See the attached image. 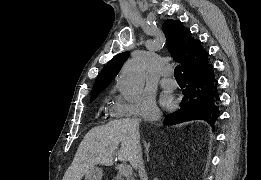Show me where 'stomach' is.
Listing matches in <instances>:
<instances>
[{
  "instance_id": "1",
  "label": "stomach",
  "mask_w": 261,
  "mask_h": 180,
  "mask_svg": "<svg viewBox=\"0 0 261 180\" xmlns=\"http://www.w3.org/2000/svg\"><path fill=\"white\" fill-rule=\"evenodd\" d=\"M102 176V170L96 166H93L85 173V180H101Z\"/></svg>"
}]
</instances>
